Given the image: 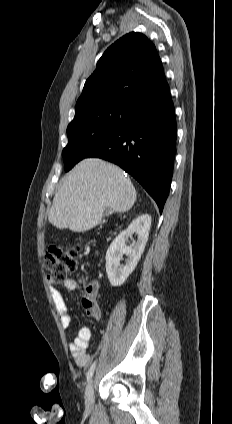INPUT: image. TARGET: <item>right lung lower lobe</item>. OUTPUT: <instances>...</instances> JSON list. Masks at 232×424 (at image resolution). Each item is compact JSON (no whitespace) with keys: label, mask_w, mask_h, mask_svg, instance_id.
Listing matches in <instances>:
<instances>
[{"label":"right lung lower lobe","mask_w":232,"mask_h":424,"mask_svg":"<svg viewBox=\"0 0 232 424\" xmlns=\"http://www.w3.org/2000/svg\"><path fill=\"white\" fill-rule=\"evenodd\" d=\"M176 136L174 105L165 81L134 103L127 122L86 158H102L119 165L145 188L161 213L173 174Z\"/></svg>","instance_id":"obj_1"}]
</instances>
